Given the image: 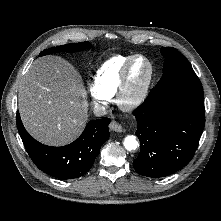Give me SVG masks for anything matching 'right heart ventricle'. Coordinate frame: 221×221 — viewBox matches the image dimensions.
<instances>
[{"label": "right heart ventricle", "instance_id": "right-heart-ventricle-1", "mask_svg": "<svg viewBox=\"0 0 221 221\" xmlns=\"http://www.w3.org/2000/svg\"><path fill=\"white\" fill-rule=\"evenodd\" d=\"M133 55H116L106 60L98 69L93 87L103 97L111 99L116 95L126 63Z\"/></svg>", "mask_w": 221, "mask_h": 221}]
</instances>
